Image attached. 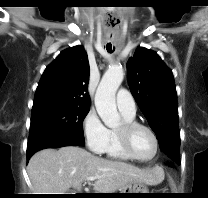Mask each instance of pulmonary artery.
<instances>
[{
	"label": "pulmonary artery",
	"instance_id": "e3ab8cb5",
	"mask_svg": "<svg viewBox=\"0 0 208 198\" xmlns=\"http://www.w3.org/2000/svg\"><path fill=\"white\" fill-rule=\"evenodd\" d=\"M116 103L120 112L135 116L136 103L131 93L126 89H120L116 95Z\"/></svg>",
	"mask_w": 208,
	"mask_h": 198
}]
</instances>
